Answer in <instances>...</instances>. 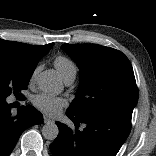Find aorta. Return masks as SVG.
I'll list each match as a JSON object with an SVG mask.
<instances>
[{"label":"aorta","instance_id":"762f6f07","mask_svg":"<svg viewBox=\"0 0 156 156\" xmlns=\"http://www.w3.org/2000/svg\"><path fill=\"white\" fill-rule=\"evenodd\" d=\"M37 84L40 90L47 93H58L62 90V82L51 71H43L38 75ZM59 129L54 122H47L42 127V135L47 140H54Z\"/></svg>","mask_w":156,"mask_h":156}]
</instances>
